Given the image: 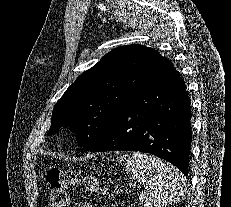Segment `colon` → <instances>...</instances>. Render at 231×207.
I'll list each match as a JSON object with an SVG mask.
<instances>
[{
	"mask_svg": "<svg viewBox=\"0 0 231 207\" xmlns=\"http://www.w3.org/2000/svg\"><path fill=\"white\" fill-rule=\"evenodd\" d=\"M49 200L47 207H64L67 203V191L77 185H83L90 192L105 194L98 179L73 170L50 168L46 173Z\"/></svg>",
	"mask_w": 231,
	"mask_h": 207,
	"instance_id": "obj_1",
	"label": "colon"
}]
</instances>
